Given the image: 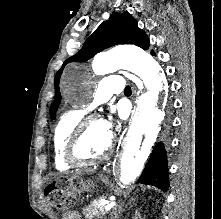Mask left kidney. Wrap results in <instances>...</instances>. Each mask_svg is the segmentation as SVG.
I'll return each instance as SVG.
<instances>
[{"instance_id":"obj_1","label":"left kidney","mask_w":221,"mask_h":219,"mask_svg":"<svg viewBox=\"0 0 221 219\" xmlns=\"http://www.w3.org/2000/svg\"><path fill=\"white\" fill-rule=\"evenodd\" d=\"M136 216L140 217V214H136ZM138 217H135V219H138ZM141 219V218H140Z\"/></svg>"}]
</instances>
